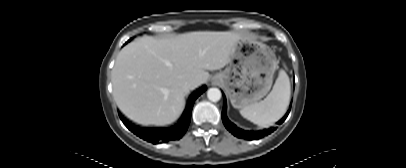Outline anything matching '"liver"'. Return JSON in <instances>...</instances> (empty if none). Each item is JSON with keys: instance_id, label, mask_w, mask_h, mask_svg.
<instances>
[{"instance_id": "6515ba94", "label": "liver", "mask_w": 406, "mask_h": 168, "mask_svg": "<svg viewBox=\"0 0 406 168\" xmlns=\"http://www.w3.org/2000/svg\"><path fill=\"white\" fill-rule=\"evenodd\" d=\"M242 38L246 37L231 31H194L131 42L120 51L112 70L117 106L139 124H171L184 109L185 95L207 82V70L226 66ZM187 81L193 82L188 91Z\"/></svg>"}]
</instances>
